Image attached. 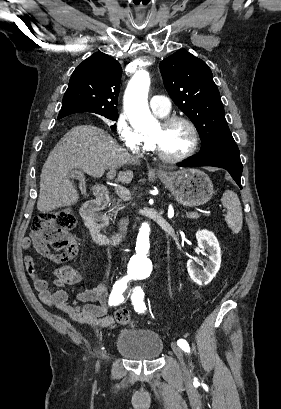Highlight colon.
Wrapping results in <instances>:
<instances>
[{"label": "colon", "mask_w": 281, "mask_h": 409, "mask_svg": "<svg viewBox=\"0 0 281 409\" xmlns=\"http://www.w3.org/2000/svg\"><path fill=\"white\" fill-rule=\"evenodd\" d=\"M74 226L75 216L71 208L41 212L32 223L34 240L49 246L61 258H68L70 252L66 233ZM128 313L127 306H120L115 313V320L128 327L134 325L135 321Z\"/></svg>", "instance_id": "5ec220e1"}]
</instances>
